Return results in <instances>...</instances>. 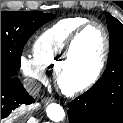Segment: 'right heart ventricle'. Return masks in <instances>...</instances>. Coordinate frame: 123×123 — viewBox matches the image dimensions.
Listing matches in <instances>:
<instances>
[{"label":"right heart ventricle","instance_id":"1","mask_svg":"<svg viewBox=\"0 0 123 123\" xmlns=\"http://www.w3.org/2000/svg\"><path fill=\"white\" fill-rule=\"evenodd\" d=\"M89 19L66 18L44 30L33 43V57L45 69L55 70L60 63L71 35Z\"/></svg>","mask_w":123,"mask_h":123}]
</instances>
